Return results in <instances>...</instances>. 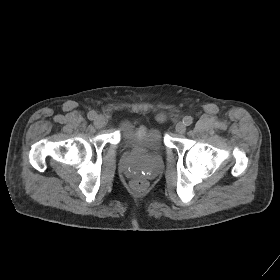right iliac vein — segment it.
Masks as SVG:
<instances>
[{"label": "right iliac vein", "mask_w": 280, "mask_h": 280, "mask_svg": "<svg viewBox=\"0 0 280 280\" xmlns=\"http://www.w3.org/2000/svg\"><path fill=\"white\" fill-rule=\"evenodd\" d=\"M94 125L97 127V128H102L106 125V119L104 116L102 115H98L97 118L95 119L94 121Z\"/></svg>", "instance_id": "right-iliac-vein-1"}]
</instances>
